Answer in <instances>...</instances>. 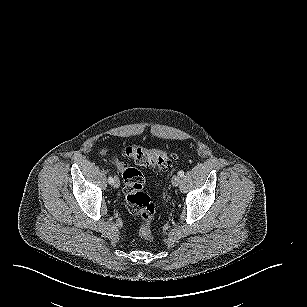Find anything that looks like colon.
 <instances>
[{"label":"colon","mask_w":307,"mask_h":307,"mask_svg":"<svg viewBox=\"0 0 307 307\" xmlns=\"http://www.w3.org/2000/svg\"><path fill=\"white\" fill-rule=\"evenodd\" d=\"M123 154L134 160L139 166L164 168L170 163L169 152L161 149H147L137 145L124 148ZM117 169L124 181V193L128 210L140 217L139 236L146 242L153 241L151 224L156 208L151 198L143 192L144 177L142 173L127 163L115 159Z\"/></svg>","instance_id":"obj_1"}]
</instances>
